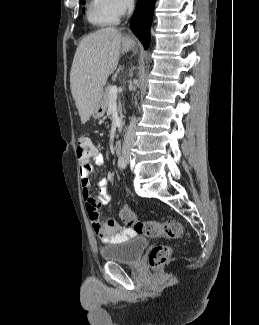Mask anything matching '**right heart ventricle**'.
<instances>
[{"label":"right heart ventricle","instance_id":"obj_1","mask_svg":"<svg viewBox=\"0 0 259 325\" xmlns=\"http://www.w3.org/2000/svg\"><path fill=\"white\" fill-rule=\"evenodd\" d=\"M86 18L89 23L98 27L114 25L117 22V18L108 10L105 0H89Z\"/></svg>","mask_w":259,"mask_h":325}]
</instances>
